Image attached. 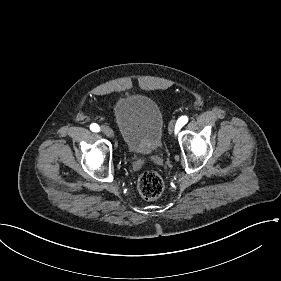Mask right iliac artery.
I'll return each instance as SVG.
<instances>
[{
	"mask_svg": "<svg viewBox=\"0 0 281 281\" xmlns=\"http://www.w3.org/2000/svg\"><path fill=\"white\" fill-rule=\"evenodd\" d=\"M90 129L93 132H98L100 130V127L97 124L94 123V124H91Z\"/></svg>",
	"mask_w": 281,
	"mask_h": 281,
	"instance_id": "obj_1",
	"label": "right iliac artery"
}]
</instances>
